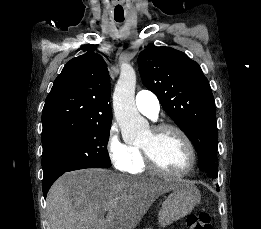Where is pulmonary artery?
<instances>
[{"instance_id":"e3ab8cb5","label":"pulmonary artery","mask_w":261,"mask_h":229,"mask_svg":"<svg viewBox=\"0 0 261 229\" xmlns=\"http://www.w3.org/2000/svg\"><path fill=\"white\" fill-rule=\"evenodd\" d=\"M135 103L138 111L152 121H156L160 111L157 96L148 90H141L136 94Z\"/></svg>"}]
</instances>
